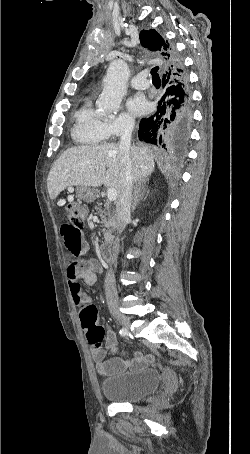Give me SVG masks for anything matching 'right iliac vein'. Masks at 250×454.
<instances>
[{"instance_id":"1","label":"right iliac vein","mask_w":250,"mask_h":454,"mask_svg":"<svg viewBox=\"0 0 250 454\" xmlns=\"http://www.w3.org/2000/svg\"><path fill=\"white\" fill-rule=\"evenodd\" d=\"M111 312L115 319L118 321V323L121 324L126 330H129L130 328L129 318L125 314L121 313L117 308L113 309Z\"/></svg>"}]
</instances>
